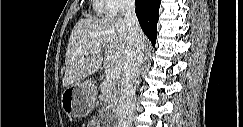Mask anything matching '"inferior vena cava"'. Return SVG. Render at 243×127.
I'll use <instances>...</instances> for the list:
<instances>
[{
  "label": "inferior vena cava",
  "instance_id": "inferior-vena-cava-1",
  "mask_svg": "<svg viewBox=\"0 0 243 127\" xmlns=\"http://www.w3.org/2000/svg\"><path fill=\"white\" fill-rule=\"evenodd\" d=\"M125 23L130 32L129 47L121 79L118 127H132L135 111V91L144 56V45L140 39L141 29L135 12V1L124 0Z\"/></svg>",
  "mask_w": 243,
  "mask_h": 127
}]
</instances>
